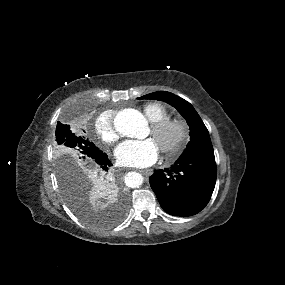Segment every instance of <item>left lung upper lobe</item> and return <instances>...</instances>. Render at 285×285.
Returning <instances> with one entry per match:
<instances>
[{
    "mask_svg": "<svg viewBox=\"0 0 285 285\" xmlns=\"http://www.w3.org/2000/svg\"><path fill=\"white\" fill-rule=\"evenodd\" d=\"M140 99H155L169 103L185 118L189 125L191 140L182 155L198 149L212 148L208 130L196 110L189 102L166 91L150 93Z\"/></svg>",
    "mask_w": 285,
    "mask_h": 285,
    "instance_id": "5c2ea615",
    "label": "left lung upper lobe"
}]
</instances>
